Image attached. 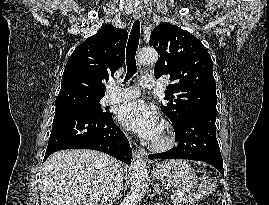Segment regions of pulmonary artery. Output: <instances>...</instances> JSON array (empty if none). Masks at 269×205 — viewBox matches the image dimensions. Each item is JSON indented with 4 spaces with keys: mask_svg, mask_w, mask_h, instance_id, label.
I'll use <instances>...</instances> for the list:
<instances>
[{
    "mask_svg": "<svg viewBox=\"0 0 269 205\" xmlns=\"http://www.w3.org/2000/svg\"><path fill=\"white\" fill-rule=\"evenodd\" d=\"M140 85L143 88H153L155 86V79L152 76L142 77ZM139 91L136 87L121 88L115 83L109 84V91L102 99L104 105L119 103L127 100L137 98Z\"/></svg>",
    "mask_w": 269,
    "mask_h": 205,
    "instance_id": "obj_1",
    "label": "pulmonary artery"
}]
</instances>
